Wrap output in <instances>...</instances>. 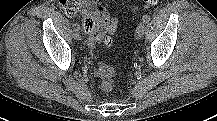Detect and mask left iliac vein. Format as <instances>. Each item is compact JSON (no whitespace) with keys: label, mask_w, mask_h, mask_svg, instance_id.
Segmentation results:
<instances>
[{"label":"left iliac vein","mask_w":217,"mask_h":121,"mask_svg":"<svg viewBox=\"0 0 217 121\" xmlns=\"http://www.w3.org/2000/svg\"><path fill=\"white\" fill-rule=\"evenodd\" d=\"M145 30V25L143 23H140L136 28L135 37L138 39L142 38L145 33Z\"/></svg>","instance_id":"4c4485c4"}]
</instances>
